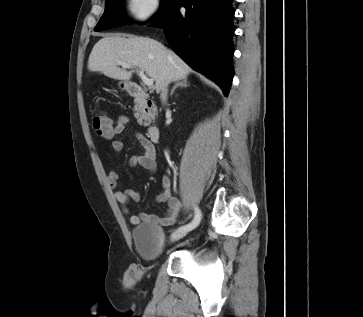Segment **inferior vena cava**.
<instances>
[{
	"instance_id": "inferior-vena-cava-1",
	"label": "inferior vena cava",
	"mask_w": 363,
	"mask_h": 317,
	"mask_svg": "<svg viewBox=\"0 0 363 317\" xmlns=\"http://www.w3.org/2000/svg\"><path fill=\"white\" fill-rule=\"evenodd\" d=\"M167 86H168V82L166 81L164 84H163V87L161 89L162 93H161V99L163 101H166L167 99Z\"/></svg>"
}]
</instances>
